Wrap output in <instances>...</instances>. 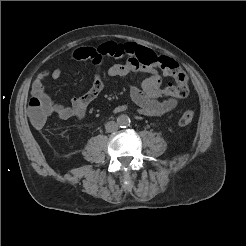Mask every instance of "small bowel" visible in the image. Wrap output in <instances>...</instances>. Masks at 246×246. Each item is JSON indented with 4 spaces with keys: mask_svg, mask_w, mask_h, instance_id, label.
<instances>
[{
    "mask_svg": "<svg viewBox=\"0 0 246 246\" xmlns=\"http://www.w3.org/2000/svg\"><path fill=\"white\" fill-rule=\"evenodd\" d=\"M137 48L134 43L117 44L115 42H106L99 46H85L75 49L71 58L76 61H91L95 66L100 67L105 58L125 59L122 63L111 65L106 74L109 77H120L130 73H146L140 86H132L130 89V98L137 110L146 116L162 117L175 109L181 98L165 97L163 92V78L159 69L153 67H144L138 64L134 58V51ZM63 74L62 68L42 69L32 83L31 93L46 100L50 105V116L60 120H66L70 117L83 118L86 115L89 105L99 96L104 89L102 77L97 74L90 89L82 96L72 98L69 105L55 102L44 88L47 79L58 80ZM128 109L127 105H118L114 107L115 113L123 112Z\"/></svg>",
    "mask_w": 246,
    "mask_h": 246,
    "instance_id": "obj_1",
    "label": "small bowel"
}]
</instances>
